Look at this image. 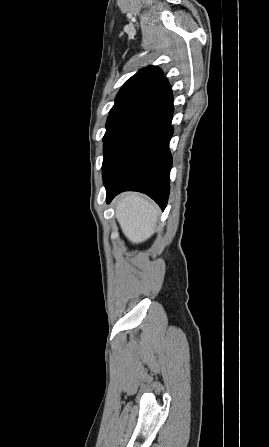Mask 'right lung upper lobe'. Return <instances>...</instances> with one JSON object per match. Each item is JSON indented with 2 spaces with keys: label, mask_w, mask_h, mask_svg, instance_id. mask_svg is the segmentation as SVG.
I'll list each match as a JSON object with an SVG mask.
<instances>
[{
  "label": "right lung upper lobe",
  "mask_w": 269,
  "mask_h": 447,
  "mask_svg": "<svg viewBox=\"0 0 269 447\" xmlns=\"http://www.w3.org/2000/svg\"><path fill=\"white\" fill-rule=\"evenodd\" d=\"M163 72L155 67L143 68L131 77L120 89L110 113L135 112L170 89Z\"/></svg>",
  "instance_id": "obj_1"
}]
</instances>
